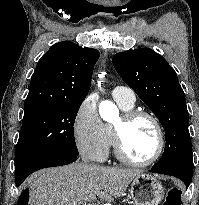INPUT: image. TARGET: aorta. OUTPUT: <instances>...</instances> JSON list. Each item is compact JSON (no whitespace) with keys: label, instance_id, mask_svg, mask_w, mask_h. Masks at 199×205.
<instances>
[{"label":"aorta","instance_id":"obj_1","mask_svg":"<svg viewBox=\"0 0 199 205\" xmlns=\"http://www.w3.org/2000/svg\"><path fill=\"white\" fill-rule=\"evenodd\" d=\"M110 110H115V106L110 101H104L100 106V114L105 117L107 112Z\"/></svg>","mask_w":199,"mask_h":205}]
</instances>
